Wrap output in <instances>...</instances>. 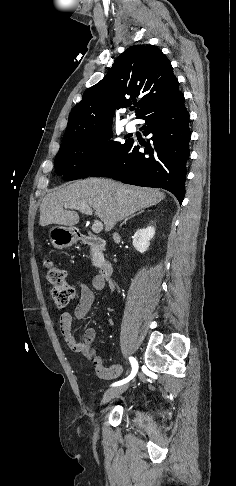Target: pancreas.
I'll return each mask as SVG.
<instances>
[{
    "label": "pancreas",
    "mask_w": 236,
    "mask_h": 486,
    "mask_svg": "<svg viewBox=\"0 0 236 486\" xmlns=\"http://www.w3.org/2000/svg\"><path fill=\"white\" fill-rule=\"evenodd\" d=\"M101 262L102 260L99 255H95V254L92 255V263L95 267H100Z\"/></svg>",
    "instance_id": "pancreas-1"
}]
</instances>
